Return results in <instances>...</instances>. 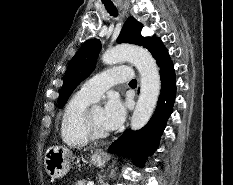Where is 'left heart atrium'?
<instances>
[{"instance_id": "39dd6f15", "label": "left heart atrium", "mask_w": 233, "mask_h": 185, "mask_svg": "<svg viewBox=\"0 0 233 185\" xmlns=\"http://www.w3.org/2000/svg\"><path fill=\"white\" fill-rule=\"evenodd\" d=\"M126 108L124 103L117 97L111 96L102 108V121L107 131L118 128L124 121Z\"/></svg>"}]
</instances>
